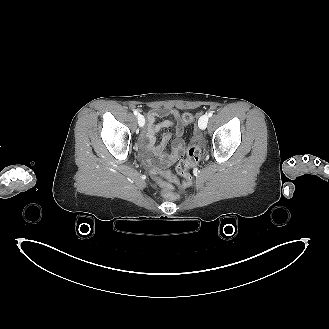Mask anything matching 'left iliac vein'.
Masks as SVG:
<instances>
[{"label": "left iliac vein", "mask_w": 329, "mask_h": 329, "mask_svg": "<svg viewBox=\"0 0 329 329\" xmlns=\"http://www.w3.org/2000/svg\"><path fill=\"white\" fill-rule=\"evenodd\" d=\"M209 116L208 115H203L200 117L198 121V126L201 130H205L208 124Z\"/></svg>", "instance_id": "4c4485c4"}]
</instances>
